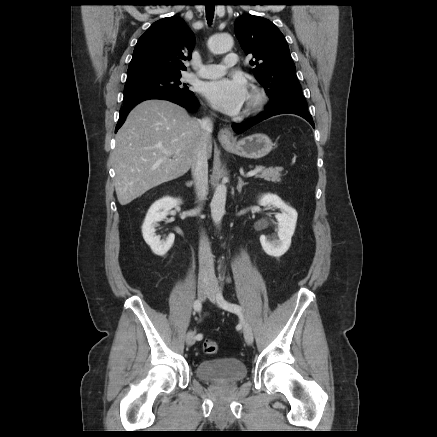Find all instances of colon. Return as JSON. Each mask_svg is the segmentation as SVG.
Segmentation results:
<instances>
[{"label":"colon","mask_w":437,"mask_h":437,"mask_svg":"<svg viewBox=\"0 0 437 437\" xmlns=\"http://www.w3.org/2000/svg\"><path fill=\"white\" fill-rule=\"evenodd\" d=\"M203 350L206 354H215L218 351V345L213 340H205L203 343Z\"/></svg>","instance_id":"1"}]
</instances>
